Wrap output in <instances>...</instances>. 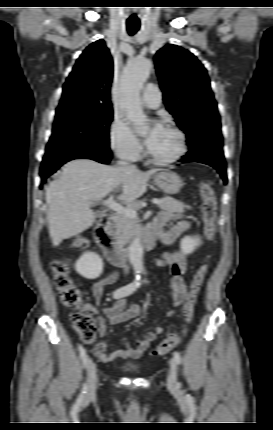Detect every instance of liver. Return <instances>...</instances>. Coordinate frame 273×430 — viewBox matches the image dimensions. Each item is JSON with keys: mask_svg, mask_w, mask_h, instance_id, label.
<instances>
[{"mask_svg": "<svg viewBox=\"0 0 273 430\" xmlns=\"http://www.w3.org/2000/svg\"><path fill=\"white\" fill-rule=\"evenodd\" d=\"M161 169L140 171L130 166L112 167L90 159H74L62 167L58 179L46 190L49 234L54 246L90 228L95 214L92 201L122 185L119 199L133 203L147 189L150 177Z\"/></svg>", "mask_w": 273, "mask_h": 430, "instance_id": "liver-1", "label": "liver"}]
</instances>
